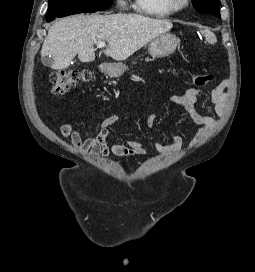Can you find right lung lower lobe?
<instances>
[{"mask_svg":"<svg viewBox=\"0 0 255 272\" xmlns=\"http://www.w3.org/2000/svg\"><path fill=\"white\" fill-rule=\"evenodd\" d=\"M54 19H55V18H54ZM54 19H47V21L50 22V21H52V20H54Z\"/></svg>","mask_w":255,"mask_h":272,"instance_id":"right-lung-lower-lobe-1","label":"right lung lower lobe"}]
</instances>
